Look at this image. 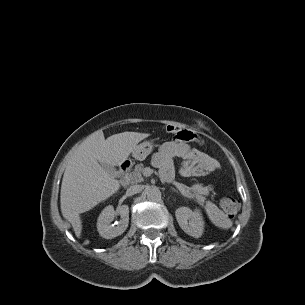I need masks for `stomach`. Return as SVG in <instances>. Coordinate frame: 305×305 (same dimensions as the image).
I'll list each match as a JSON object with an SVG mask.
<instances>
[{
    "mask_svg": "<svg viewBox=\"0 0 305 305\" xmlns=\"http://www.w3.org/2000/svg\"><path fill=\"white\" fill-rule=\"evenodd\" d=\"M154 144L151 141H144L135 146L132 151V156L139 161H143L153 151Z\"/></svg>",
    "mask_w": 305,
    "mask_h": 305,
    "instance_id": "1",
    "label": "stomach"
}]
</instances>
